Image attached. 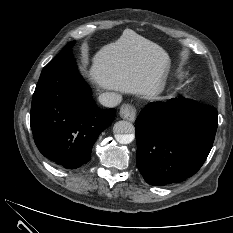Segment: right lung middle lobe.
Returning a JSON list of instances; mask_svg holds the SVG:
<instances>
[{
  "label": "right lung middle lobe",
  "instance_id": "obj_1",
  "mask_svg": "<svg viewBox=\"0 0 233 233\" xmlns=\"http://www.w3.org/2000/svg\"><path fill=\"white\" fill-rule=\"evenodd\" d=\"M74 43H75V41H72V42L68 43V44L65 46V48H64V49H66V50L71 49V48H72V46L74 45Z\"/></svg>",
  "mask_w": 233,
  "mask_h": 233
}]
</instances>
